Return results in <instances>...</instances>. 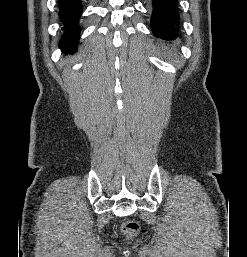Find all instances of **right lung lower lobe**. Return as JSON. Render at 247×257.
Masks as SVG:
<instances>
[{
    "mask_svg": "<svg viewBox=\"0 0 247 257\" xmlns=\"http://www.w3.org/2000/svg\"><path fill=\"white\" fill-rule=\"evenodd\" d=\"M58 2L59 17L66 27L60 47L63 52H74L79 38L78 20L82 13L81 0H58Z\"/></svg>",
    "mask_w": 247,
    "mask_h": 257,
    "instance_id": "1",
    "label": "right lung lower lobe"
}]
</instances>
